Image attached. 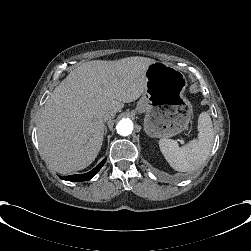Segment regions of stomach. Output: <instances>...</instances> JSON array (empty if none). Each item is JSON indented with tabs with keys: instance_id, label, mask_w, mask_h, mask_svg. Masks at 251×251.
I'll use <instances>...</instances> for the list:
<instances>
[{
	"instance_id": "stomach-1",
	"label": "stomach",
	"mask_w": 251,
	"mask_h": 251,
	"mask_svg": "<svg viewBox=\"0 0 251 251\" xmlns=\"http://www.w3.org/2000/svg\"><path fill=\"white\" fill-rule=\"evenodd\" d=\"M145 76L146 86L137 110L146 113V133L167 138L185 130L192 108L184 96L187 87L184 74L172 65L155 61L147 65Z\"/></svg>"
}]
</instances>
